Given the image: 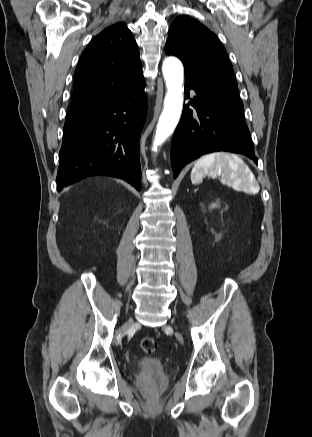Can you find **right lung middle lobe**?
Segmentation results:
<instances>
[{"label": "right lung middle lobe", "instance_id": "right-lung-middle-lobe-1", "mask_svg": "<svg viewBox=\"0 0 312 437\" xmlns=\"http://www.w3.org/2000/svg\"><path fill=\"white\" fill-rule=\"evenodd\" d=\"M77 114H67L66 115V119H69V118H72V117H74V116H76Z\"/></svg>", "mask_w": 312, "mask_h": 437}]
</instances>
